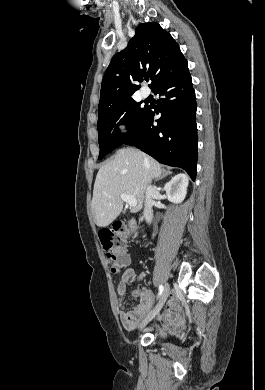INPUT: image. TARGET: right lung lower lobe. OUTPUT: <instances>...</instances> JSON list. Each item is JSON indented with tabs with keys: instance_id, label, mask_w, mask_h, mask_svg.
I'll list each match as a JSON object with an SVG mask.
<instances>
[{
	"instance_id": "1",
	"label": "right lung lower lobe",
	"mask_w": 265,
	"mask_h": 390,
	"mask_svg": "<svg viewBox=\"0 0 265 390\" xmlns=\"http://www.w3.org/2000/svg\"><path fill=\"white\" fill-rule=\"evenodd\" d=\"M153 91L163 96L157 101L156 110L148 108L142 122L123 144L140 148L162 164L180 167L195 180L197 106L187 61L158 82ZM155 113L162 114L156 126L153 125Z\"/></svg>"
}]
</instances>
